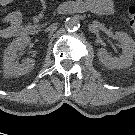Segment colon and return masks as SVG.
I'll return each instance as SVG.
<instances>
[{
  "mask_svg": "<svg viewBox=\"0 0 135 135\" xmlns=\"http://www.w3.org/2000/svg\"><path fill=\"white\" fill-rule=\"evenodd\" d=\"M127 22L132 31L135 33V5H130L127 10Z\"/></svg>",
  "mask_w": 135,
  "mask_h": 135,
  "instance_id": "colon-1",
  "label": "colon"
}]
</instances>
